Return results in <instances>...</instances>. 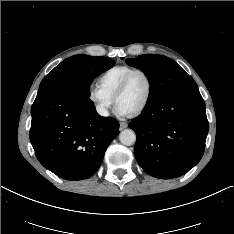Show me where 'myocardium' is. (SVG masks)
Segmentation results:
<instances>
[{
	"label": "myocardium",
	"mask_w": 234,
	"mask_h": 234,
	"mask_svg": "<svg viewBox=\"0 0 234 234\" xmlns=\"http://www.w3.org/2000/svg\"><path fill=\"white\" fill-rule=\"evenodd\" d=\"M137 73H141L146 77L147 83H148V89H147V94H146L144 102L134 112L129 113L130 116H138L141 113H143L145 109L148 107L152 98V94H153V80H152L151 75L144 69H140V68L133 69L124 77V79L122 80V82L120 83V85L118 86V88L116 89L113 95V102L116 105L117 99L126 91L131 78Z\"/></svg>",
	"instance_id": "myocardium-1"
}]
</instances>
